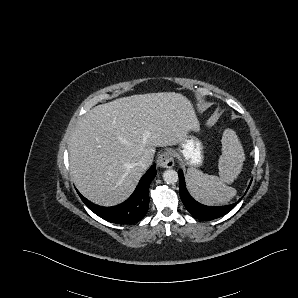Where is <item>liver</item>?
Instances as JSON below:
<instances>
[{
	"label": "liver",
	"mask_w": 298,
	"mask_h": 298,
	"mask_svg": "<svg viewBox=\"0 0 298 298\" xmlns=\"http://www.w3.org/2000/svg\"><path fill=\"white\" fill-rule=\"evenodd\" d=\"M200 123L192 102L176 92L122 97L97 105L78 121L69 143L73 182L82 195L102 205L130 196L153 161L156 147L184 142Z\"/></svg>",
	"instance_id": "1"
}]
</instances>
